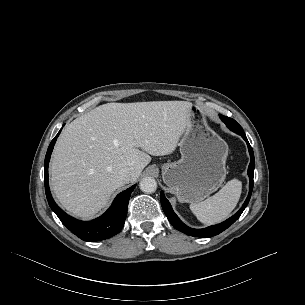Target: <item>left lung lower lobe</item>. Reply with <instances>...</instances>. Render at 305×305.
<instances>
[{
  "label": "left lung lower lobe",
  "mask_w": 305,
  "mask_h": 305,
  "mask_svg": "<svg viewBox=\"0 0 305 305\" xmlns=\"http://www.w3.org/2000/svg\"><path fill=\"white\" fill-rule=\"evenodd\" d=\"M240 135L246 141V143L248 145L250 157H251V162L248 167V175H249V179H250L249 194H248L244 204L232 217H230L229 219L225 220L224 222H222L220 224L209 226V227L203 228V229H192V228L186 226L184 223H182L181 220L177 217V215L174 213L169 201L165 198L164 192L162 191L160 198H161V204H162L163 210H164L168 220L177 230H179L187 235L194 236V237H204V238L213 237L215 235H218L225 229H227L230 225H232L240 217V215L246 208V206L250 200V197L252 194V189H253V176H254L255 160H254V154H253L252 147L250 146L245 133L242 132V133H240Z\"/></svg>",
  "instance_id": "0a47b994"
}]
</instances>
